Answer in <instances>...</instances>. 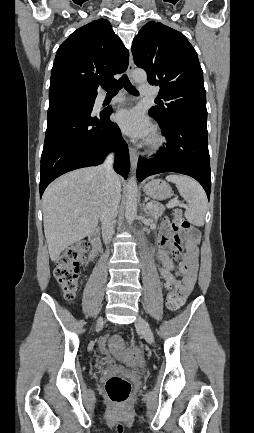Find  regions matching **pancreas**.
Segmentation results:
<instances>
[{
	"label": "pancreas",
	"instance_id": "1",
	"mask_svg": "<svg viewBox=\"0 0 254 433\" xmlns=\"http://www.w3.org/2000/svg\"><path fill=\"white\" fill-rule=\"evenodd\" d=\"M150 203L152 206L148 208V215L157 220L165 211V207L158 202L151 201Z\"/></svg>",
	"mask_w": 254,
	"mask_h": 433
}]
</instances>
